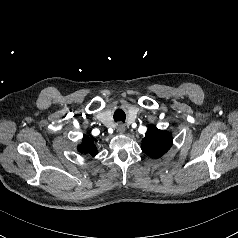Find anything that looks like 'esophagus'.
Masks as SVG:
<instances>
[{
    "label": "esophagus",
    "instance_id": "1",
    "mask_svg": "<svg viewBox=\"0 0 238 238\" xmlns=\"http://www.w3.org/2000/svg\"><path fill=\"white\" fill-rule=\"evenodd\" d=\"M117 130H118L119 133H124V131H125V126H124V124L118 123V124H117Z\"/></svg>",
    "mask_w": 238,
    "mask_h": 238
}]
</instances>
